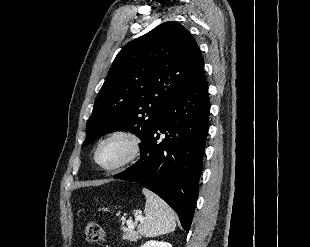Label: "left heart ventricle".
I'll list each match as a JSON object with an SVG mask.
<instances>
[{"label": "left heart ventricle", "mask_w": 310, "mask_h": 247, "mask_svg": "<svg viewBox=\"0 0 310 247\" xmlns=\"http://www.w3.org/2000/svg\"><path fill=\"white\" fill-rule=\"evenodd\" d=\"M129 151L128 143L123 139H114L105 143L98 153V160L105 166H112L123 160Z\"/></svg>", "instance_id": "1"}]
</instances>
